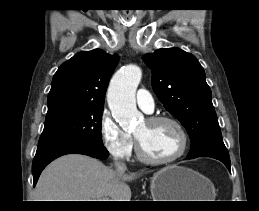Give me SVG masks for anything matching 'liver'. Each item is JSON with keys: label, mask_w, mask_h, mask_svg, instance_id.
<instances>
[{"label": "liver", "mask_w": 259, "mask_h": 211, "mask_svg": "<svg viewBox=\"0 0 259 211\" xmlns=\"http://www.w3.org/2000/svg\"><path fill=\"white\" fill-rule=\"evenodd\" d=\"M137 174L120 173L95 158L69 154L49 164L35 188L36 201H130L126 184Z\"/></svg>", "instance_id": "6515ba94"}]
</instances>
